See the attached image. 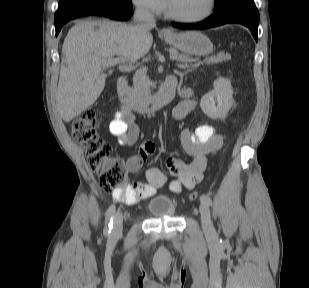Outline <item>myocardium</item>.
<instances>
[{"mask_svg": "<svg viewBox=\"0 0 309 288\" xmlns=\"http://www.w3.org/2000/svg\"><path fill=\"white\" fill-rule=\"evenodd\" d=\"M215 4H216L215 0H208V9L205 13H203L202 15L196 16V17H184V16L174 13L171 10L168 1L166 0L165 11H166L167 16L173 20H176L182 23L194 24V23H199V22H202L208 19L214 12Z\"/></svg>", "mask_w": 309, "mask_h": 288, "instance_id": "obj_1", "label": "myocardium"}]
</instances>
